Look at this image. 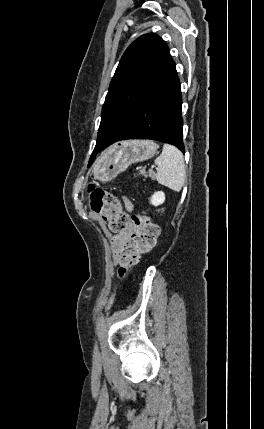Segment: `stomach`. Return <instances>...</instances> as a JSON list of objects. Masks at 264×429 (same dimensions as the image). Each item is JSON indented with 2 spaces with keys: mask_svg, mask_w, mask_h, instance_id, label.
Returning a JSON list of instances; mask_svg holds the SVG:
<instances>
[{
  "mask_svg": "<svg viewBox=\"0 0 264 429\" xmlns=\"http://www.w3.org/2000/svg\"><path fill=\"white\" fill-rule=\"evenodd\" d=\"M158 145L152 140H126L114 144L95 161L92 174L96 180L109 182L129 165L153 157Z\"/></svg>",
  "mask_w": 264,
  "mask_h": 429,
  "instance_id": "obj_1",
  "label": "stomach"
}]
</instances>
